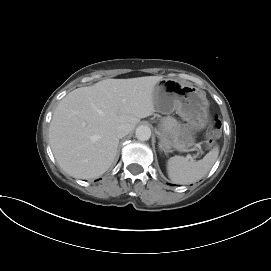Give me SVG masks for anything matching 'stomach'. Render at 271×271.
I'll list each match as a JSON object with an SVG mask.
<instances>
[{
	"mask_svg": "<svg viewBox=\"0 0 271 271\" xmlns=\"http://www.w3.org/2000/svg\"><path fill=\"white\" fill-rule=\"evenodd\" d=\"M153 100L157 110L164 114L176 113L185 121L174 131L160 130V148L187 150L195 143V134L209 123V101L206 93L194 86L173 79H162L154 87Z\"/></svg>",
	"mask_w": 271,
	"mask_h": 271,
	"instance_id": "stomach-1",
	"label": "stomach"
}]
</instances>
